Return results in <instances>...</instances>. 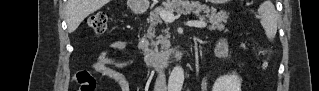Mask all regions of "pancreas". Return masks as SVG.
<instances>
[{
  "instance_id": "pancreas-1",
  "label": "pancreas",
  "mask_w": 319,
  "mask_h": 91,
  "mask_svg": "<svg viewBox=\"0 0 319 91\" xmlns=\"http://www.w3.org/2000/svg\"><path fill=\"white\" fill-rule=\"evenodd\" d=\"M164 7H159L150 13V26L147 30V34L144 35L143 39L145 41L144 53L148 54L150 57L154 58L156 62H159L167 49L170 46L169 35L167 30H164L165 35L159 37L155 36V27L158 23L162 22L159 16L160 10L176 11L177 13H190L194 12L201 21L205 20V17L209 19V29L222 31L225 28V24L228 19V14L226 12H217L215 9H209L205 5H200L199 3L180 5L175 3L177 1H171ZM204 12L206 15L201 16L200 13ZM156 37V40L154 38ZM160 46V49H159Z\"/></svg>"
}]
</instances>
